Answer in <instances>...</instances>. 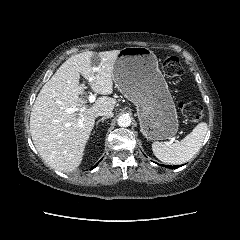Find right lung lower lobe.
I'll return each mask as SVG.
<instances>
[{
	"label": "right lung lower lobe",
	"instance_id": "right-lung-lower-lobe-1",
	"mask_svg": "<svg viewBox=\"0 0 240 240\" xmlns=\"http://www.w3.org/2000/svg\"><path fill=\"white\" fill-rule=\"evenodd\" d=\"M97 165H98V163H97L93 168H95ZM93 168H92V169H93Z\"/></svg>",
	"mask_w": 240,
	"mask_h": 240
}]
</instances>
